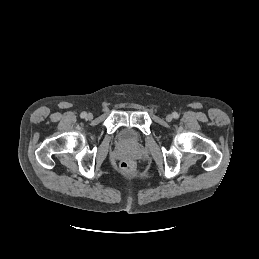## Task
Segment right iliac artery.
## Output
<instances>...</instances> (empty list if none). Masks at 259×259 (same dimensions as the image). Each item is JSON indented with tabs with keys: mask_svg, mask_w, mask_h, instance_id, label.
<instances>
[{
	"mask_svg": "<svg viewBox=\"0 0 259 259\" xmlns=\"http://www.w3.org/2000/svg\"><path fill=\"white\" fill-rule=\"evenodd\" d=\"M80 116H81V118H85L87 116V113L86 112H82Z\"/></svg>",
	"mask_w": 259,
	"mask_h": 259,
	"instance_id": "obj_1",
	"label": "right iliac artery"
}]
</instances>
